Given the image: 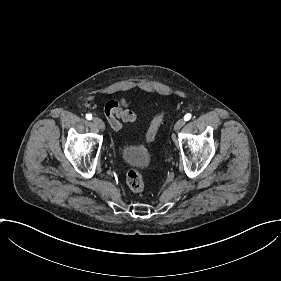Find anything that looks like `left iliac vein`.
Segmentation results:
<instances>
[{"label":"left iliac vein","mask_w":281,"mask_h":281,"mask_svg":"<svg viewBox=\"0 0 281 281\" xmlns=\"http://www.w3.org/2000/svg\"><path fill=\"white\" fill-rule=\"evenodd\" d=\"M184 123H185V120L184 119H181V120H179V121H177L176 122V125H175V130L177 129V128H181L182 126H184Z\"/></svg>","instance_id":"4c4485c4"}]
</instances>
